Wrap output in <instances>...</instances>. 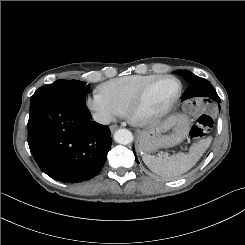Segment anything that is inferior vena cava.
<instances>
[{"label": "inferior vena cava", "mask_w": 245, "mask_h": 245, "mask_svg": "<svg viewBox=\"0 0 245 245\" xmlns=\"http://www.w3.org/2000/svg\"><path fill=\"white\" fill-rule=\"evenodd\" d=\"M93 118L96 122L100 123V124H104L107 125L110 123V118L107 116H103V115H99V114H94Z\"/></svg>", "instance_id": "obj_1"}]
</instances>
